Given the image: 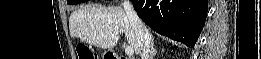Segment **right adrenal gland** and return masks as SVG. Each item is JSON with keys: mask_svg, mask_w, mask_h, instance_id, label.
Masks as SVG:
<instances>
[{"mask_svg": "<svg viewBox=\"0 0 261 59\" xmlns=\"http://www.w3.org/2000/svg\"><path fill=\"white\" fill-rule=\"evenodd\" d=\"M157 54V50L154 47V40L151 43V59H154L155 55Z\"/></svg>", "mask_w": 261, "mask_h": 59, "instance_id": "right-adrenal-gland-1", "label": "right adrenal gland"}]
</instances>
